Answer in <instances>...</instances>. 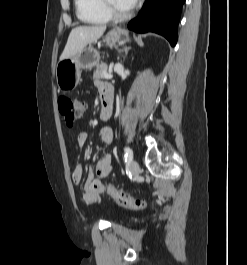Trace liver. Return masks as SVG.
<instances>
[{
  "mask_svg": "<svg viewBox=\"0 0 247 265\" xmlns=\"http://www.w3.org/2000/svg\"><path fill=\"white\" fill-rule=\"evenodd\" d=\"M106 26H80L72 29L60 60L71 58L88 44L97 41L105 32Z\"/></svg>",
  "mask_w": 247,
  "mask_h": 265,
  "instance_id": "obj_1",
  "label": "liver"
}]
</instances>
